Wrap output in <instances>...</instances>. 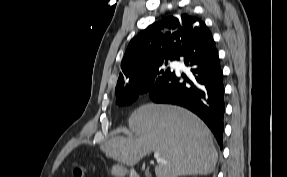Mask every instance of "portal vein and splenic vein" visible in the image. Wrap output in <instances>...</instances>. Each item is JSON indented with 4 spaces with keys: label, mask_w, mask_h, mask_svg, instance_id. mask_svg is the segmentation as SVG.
<instances>
[{
    "label": "portal vein and splenic vein",
    "mask_w": 287,
    "mask_h": 177,
    "mask_svg": "<svg viewBox=\"0 0 287 177\" xmlns=\"http://www.w3.org/2000/svg\"><path fill=\"white\" fill-rule=\"evenodd\" d=\"M154 158L156 159L157 162L166 163V161L160 157V153L159 152H155L154 153Z\"/></svg>",
    "instance_id": "obj_1"
}]
</instances>
